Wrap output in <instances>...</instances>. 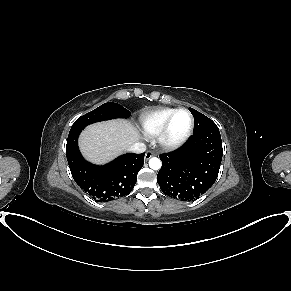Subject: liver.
Instances as JSON below:
<instances>
[{"label":"liver","mask_w":291,"mask_h":291,"mask_svg":"<svg viewBox=\"0 0 291 291\" xmlns=\"http://www.w3.org/2000/svg\"><path fill=\"white\" fill-rule=\"evenodd\" d=\"M140 139L131 122L112 120L86 127L79 139L83 155L95 163L112 159Z\"/></svg>","instance_id":"obj_1"}]
</instances>
